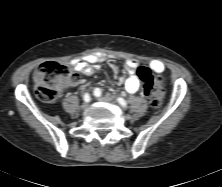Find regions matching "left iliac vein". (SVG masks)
Wrapping results in <instances>:
<instances>
[{"instance_id":"left-iliac-vein-1","label":"left iliac vein","mask_w":222,"mask_h":187,"mask_svg":"<svg viewBox=\"0 0 222 187\" xmlns=\"http://www.w3.org/2000/svg\"><path fill=\"white\" fill-rule=\"evenodd\" d=\"M98 100L103 101V102H111L112 101V99L107 98V97H98Z\"/></svg>"}]
</instances>
